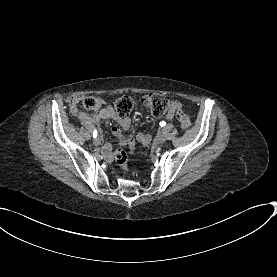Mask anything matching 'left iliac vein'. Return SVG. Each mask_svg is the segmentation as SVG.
Instances as JSON below:
<instances>
[{
	"label": "left iliac vein",
	"mask_w": 277,
	"mask_h": 277,
	"mask_svg": "<svg viewBox=\"0 0 277 277\" xmlns=\"http://www.w3.org/2000/svg\"><path fill=\"white\" fill-rule=\"evenodd\" d=\"M158 140H159V143L163 144V143H165L166 138L164 135H160Z\"/></svg>",
	"instance_id": "4c4485c4"
}]
</instances>
